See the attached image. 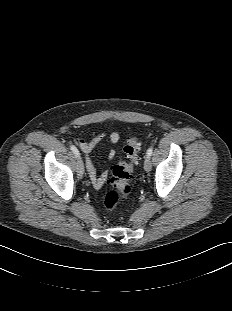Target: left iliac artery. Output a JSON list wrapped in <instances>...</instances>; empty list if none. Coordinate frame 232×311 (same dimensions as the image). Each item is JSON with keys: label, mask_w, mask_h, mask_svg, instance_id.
Returning <instances> with one entry per match:
<instances>
[{"label": "left iliac artery", "mask_w": 232, "mask_h": 311, "mask_svg": "<svg viewBox=\"0 0 232 311\" xmlns=\"http://www.w3.org/2000/svg\"><path fill=\"white\" fill-rule=\"evenodd\" d=\"M153 153V147H150L148 150H147V156H151Z\"/></svg>", "instance_id": "1"}]
</instances>
